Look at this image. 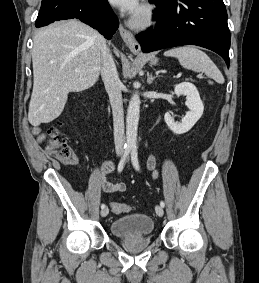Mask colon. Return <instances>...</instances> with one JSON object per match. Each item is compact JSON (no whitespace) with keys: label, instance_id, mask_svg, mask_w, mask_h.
Wrapping results in <instances>:
<instances>
[{"label":"colon","instance_id":"colon-1","mask_svg":"<svg viewBox=\"0 0 259 283\" xmlns=\"http://www.w3.org/2000/svg\"><path fill=\"white\" fill-rule=\"evenodd\" d=\"M48 153L67 165L78 162L77 153L58 128H53L50 131ZM110 207L115 214H122L131 210V206L119 202L111 203Z\"/></svg>","mask_w":259,"mask_h":283}]
</instances>
